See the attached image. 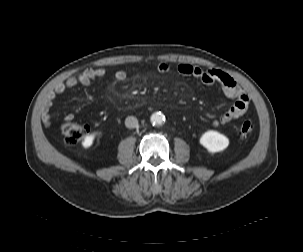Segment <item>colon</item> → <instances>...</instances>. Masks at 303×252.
I'll return each mask as SVG.
<instances>
[{
	"label": "colon",
	"mask_w": 303,
	"mask_h": 252,
	"mask_svg": "<svg viewBox=\"0 0 303 252\" xmlns=\"http://www.w3.org/2000/svg\"><path fill=\"white\" fill-rule=\"evenodd\" d=\"M88 130L84 126L73 122H66L62 125L61 133L64 140L68 143H76L80 141L86 134ZM253 132V124L251 122H243L240 125V134L244 137L251 135Z\"/></svg>",
	"instance_id": "5ec220e1"
}]
</instances>
